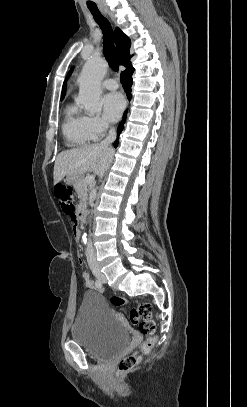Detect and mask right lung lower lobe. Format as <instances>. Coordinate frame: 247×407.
Wrapping results in <instances>:
<instances>
[{"label": "right lung lower lobe", "instance_id": "obj_1", "mask_svg": "<svg viewBox=\"0 0 247 407\" xmlns=\"http://www.w3.org/2000/svg\"><path fill=\"white\" fill-rule=\"evenodd\" d=\"M133 72H134V68L131 65V66L127 67L126 70H124L121 73V76H120V81H121V83L123 85V88L125 89V92H126L127 97H128L129 100L132 97V95H131V86H132V83H133V80H132ZM126 114H127V112H125L124 119L120 123V125L118 126V131H117L118 133H120L122 131V129H123V124H124V121H125ZM117 146H118V139L114 142V147H117Z\"/></svg>", "mask_w": 247, "mask_h": 407}]
</instances>
